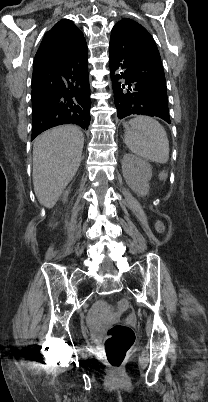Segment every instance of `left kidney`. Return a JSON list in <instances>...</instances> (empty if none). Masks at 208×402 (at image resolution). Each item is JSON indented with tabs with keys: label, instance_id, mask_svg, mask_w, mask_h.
<instances>
[{
	"label": "left kidney",
	"instance_id": "5707ae66",
	"mask_svg": "<svg viewBox=\"0 0 208 402\" xmlns=\"http://www.w3.org/2000/svg\"><path fill=\"white\" fill-rule=\"evenodd\" d=\"M122 174L133 192L138 196H147L149 180L152 178V168L148 162L134 154H125L122 160Z\"/></svg>",
	"mask_w": 208,
	"mask_h": 402
}]
</instances>
